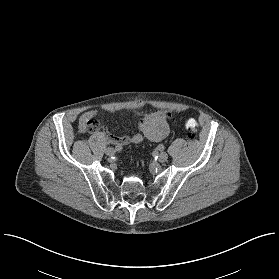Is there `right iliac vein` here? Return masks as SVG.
Masks as SVG:
<instances>
[{
	"mask_svg": "<svg viewBox=\"0 0 279 279\" xmlns=\"http://www.w3.org/2000/svg\"><path fill=\"white\" fill-rule=\"evenodd\" d=\"M105 153H106V155H108V156H112V155H114L115 151H114L113 148L108 147V148H106Z\"/></svg>",
	"mask_w": 279,
	"mask_h": 279,
	"instance_id": "right-iliac-vein-1",
	"label": "right iliac vein"
}]
</instances>
